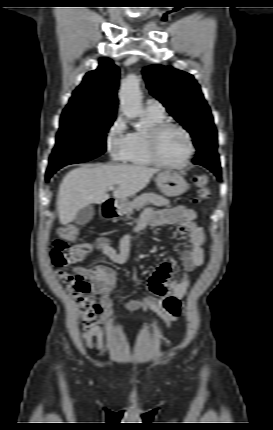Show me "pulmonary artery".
I'll use <instances>...</instances> for the list:
<instances>
[{
    "instance_id": "pulmonary-artery-1",
    "label": "pulmonary artery",
    "mask_w": 273,
    "mask_h": 430,
    "mask_svg": "<svg viewBox=\"0 0 273 430\" xmlns=\"http://www.w3.org/2000/svg\"><path fill=\"white\" fill-rule=\"evenodd\" d=\"M146 111H149L158 115H164L163 105L155 99H149L146 102Z\"/></svg>"
}]
</instances>
